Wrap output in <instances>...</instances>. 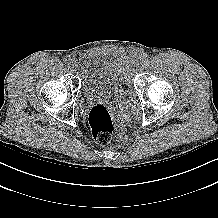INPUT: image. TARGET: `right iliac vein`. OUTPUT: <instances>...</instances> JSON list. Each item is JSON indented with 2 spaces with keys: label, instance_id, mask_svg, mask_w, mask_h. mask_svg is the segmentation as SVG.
I'll use <instances>...</instances> for the list:
<instances>
[{
  "label": "right iliac vein",
  "instance_id": "1",
  "mask_svg": "<svg viewBox=\"0 0 218 218\" xmlns=\"http://www.w3.org/2000/svg\"><path fill=\"white\" fill-rule=\"evenodd\" d=\"M70 67L72 70L76 71L79 68L78 60L75 58H72L70 61Z\"/></svg>",
  "mask_w": 218,
  "mask_h": 218
}]
</instances>
